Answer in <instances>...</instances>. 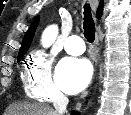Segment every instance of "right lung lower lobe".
Instances as JSON below:
<instances>
[{"label": "right lung lower lobe", "instance_id": "obj_1", "mask_svg": "<svg viewBox=\"0 0 131 115\" xmlns=\"http://www.w3.org/2000/svg\"><path fill=\"white\" fill-rule=\"evenodd\" d=\"M78 113L77 112H73V115H77Z\"/></svg>", "mask_w": 131, "mask_h": 115}]
</instances>
